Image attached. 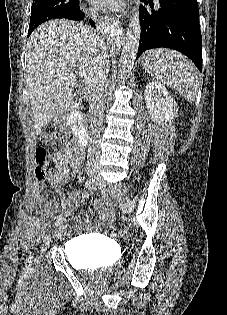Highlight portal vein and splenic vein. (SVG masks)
Returning a JSON list of instances; mask_svg holds the SVG:
<instances>
[{
  "mask_svg": "<svg viewBox=\"0 0 227 315\" xmlns=\"http://www.w3.org/2000/svg\"><path fill=\"white\" fill-rule=\"evenodd\" d=\"M78 73L81 77H83L86 81V83H89L91 81V75L90 73L84 69L83 67L78 68Z\"/></svg>",
  "mask_w": 227,
  "mask_h": 315,
  "instance_id": "18ae733b",
  "label": "portal vein and splenic vein"
}]
</instances>
